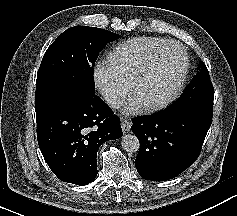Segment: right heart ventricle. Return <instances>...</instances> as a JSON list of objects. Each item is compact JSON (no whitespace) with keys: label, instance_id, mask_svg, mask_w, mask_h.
<instances>
[{"label":"right heart ventricle","instance_id":"right-heart-ventricle-1","mask_svg":"<svg viewBox=\"0 0 237 216\" xmlns=\"http://www.w3.org/2000/svg\"><path fill=\"white\" fill-rule=\"evenodd\" d=\"M170 48L161 36H140L117 46L107 59V71L115 84L124 86L133 80L134 73L150 57Z\"/></svg>","mask_w":237,"mask_h":216}]
</instances>
